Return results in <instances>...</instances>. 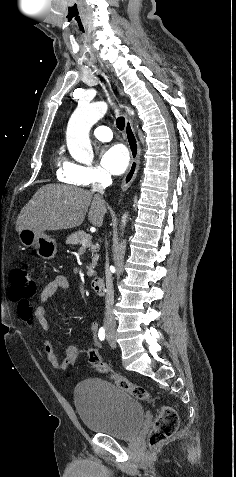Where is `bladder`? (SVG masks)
I'll return each mask as SVG.
<instances>
[{
	"mask_svg": "<svg viewBox=\"0 0 236 477\" xmlns=\"http://www.w3.org/2000/svg\"><path fill=\"white\" fill-rule=\"evenodd\" d=\"M74 402L82 423L93 433L128 439L144 421L139 400L104 379L89 378L77 385Z\"/></svg>",
	"mask_w": 236,
	"mask_h": 477,
	"instance_id": "31cf9c89",
	"label": "bladder"
}]
</instances>
